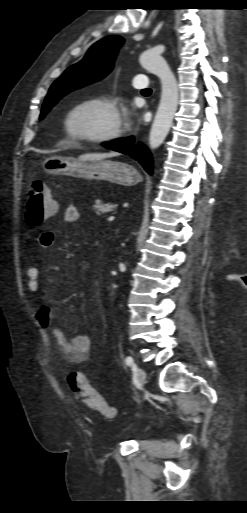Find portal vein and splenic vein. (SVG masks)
<instances>
[{
    "instance_id": "obj_1",
    "label": "portal vein and splenic vein",
    "mask_w": 247,
    "mask_h": 513,
    "mask_svg": "<svg viewBox=\"0 0 247 513\" xmlns=\"http://www.w3.org/2000/svg\"><path fill=\"white\" fill-rule=\"evenodd\" d=\"M114 219H115V217H114V216H110L107 220H108L109 222H112Z\"/></svg>"
}]
</instances>
